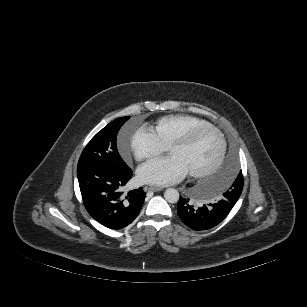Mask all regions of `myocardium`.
<instances>
[{"label":"myocardium","mask_w":307,"mask_h":307,"mask_svg":"<svg viewBox=\"0 0 307 307\" xmlns=\"http://www.w3.org/2000/svg\"><path fill=\"white\" fill-rule=\"evenodd\" d=\"M207 130H211L219 136L220 143H221L220 151L212 167L202 170V171L189 172V175L194 178H203V177L212 175L213 173L217 172L219 168L221 167V165L223 164L226 153H227V141H226V138L223 132L218 127L212 124L197 126L183 133L178 138L174 139L168 146V151L170 152L174 147L189 145L196 139V137L200 133L207 131Z\"/></svg>","instance_id":"obj_1"}]
</instances>
